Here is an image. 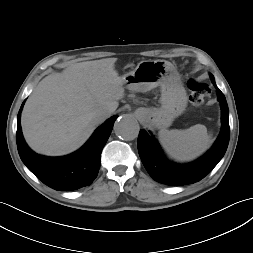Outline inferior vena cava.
<instances>
[{"label": "inferior vena cava", "mask_w": 253, "mask_h": 253, "mask_svg": "<svg viewBox=\"0 0 253 253\" xmlns=\"http://www.w3.org/2000/svg\"><path fill=\"white\" fill-rule=\"evenodd\" d=\"M112 114L110 110H100L94 114V118L98 123L104 122Z\"/></svg>", "instance_id": "obj_1"}]
</instances>
